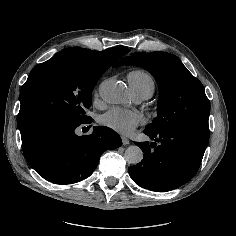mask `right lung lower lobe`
I'll use <instances>...</instances> for the list:
<instances>
[{
    "label": "right lung lower lobe",
    "instance_id": "98d812e1",
    "mask_svg": "<svg viewBox=\"0 0 236 236\" xmlns=\"http://www.w3.org/2000/svg\"><path fill=\"white\" fill-rule=\"evenodd\" d=\"M91 122L90 117L79 125H50L22 140L29 165L44 179L56 184L76 183L89 177L104 151L122 145L120 136L105 126H95L92 134L78 136L77 128Z\"/></svg>",
    "mask_w": 236,
    "mask_h": 236
}]
</instances>
